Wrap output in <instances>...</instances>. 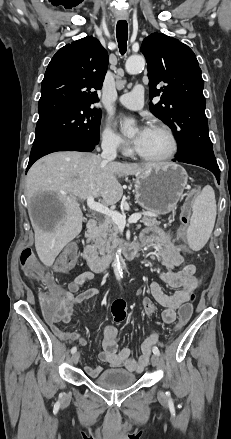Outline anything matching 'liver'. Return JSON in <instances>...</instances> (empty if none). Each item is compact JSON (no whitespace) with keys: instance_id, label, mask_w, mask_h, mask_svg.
I'll return each instance as SVG.
<instances>
[{"instance_id":"obj_1","label":"liver","mask_w":231,"mask_h":439,"mask_svg":"<svg viewBox=\"0 0 231 439\" xmlns=\"http://www.w3.org/2000/svg\"><path fill=\"white\" fill-rule=\"evenodd\" d=\"M162 164L107 161L82 152H56L36 161L27 173L28 201L31 203L37 193H42L52 196L55 202V210L48 217L39 215L36 220L30 211L41 262L52 266L61 250L81 232L79 200L93 196L102 198L106 205L116 204L123 195L118 177L138 176Z\"/></svg>"}]
</instances>
